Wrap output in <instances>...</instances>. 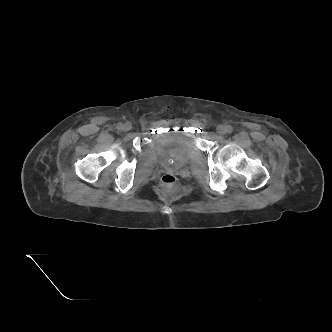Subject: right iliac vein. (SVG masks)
Returning a JSON list of instances; mask_svg holds the SVG:
<instances>
[{
    "label": "right iliac vein",
    "mask_w": 332,
    "mask_h": 332,
    "mask_svg": "<svg viewBox=\"0 0 332 332\" xmlns=\"http://www.w3.org/2000/svg\"><path fill=\"white\" fill-rule=\"evenodd\" d=\"M131 128H132V125L129 122H126L124 125H122V130H124V131H129V130H131Z\"/></svg>",
    "instance_id": "right-iliac-vein-1"
}]
</instances>
